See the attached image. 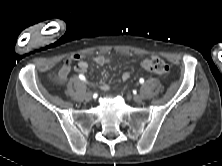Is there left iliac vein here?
Masks as SVG:
<instances>
[{"label":"left iliac vein","mask_w":222,"mask_h":166,"mask_svg":"<svg viewBox=\"0 0 222 166\" xmlns=\"http://www.w3.org/2000/svg\"><path fill=\"white\" fill-rule=\"evenodd\" d=\"M133 100L137 103H140L143 100V97L139 94L134 95Z\"/></svg>","instance_id":"left-iliac-vein-1"}]
</instances>
